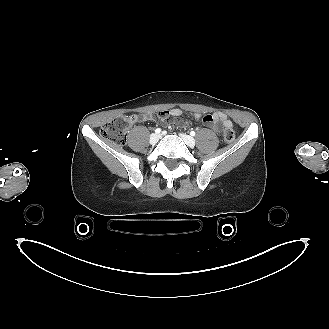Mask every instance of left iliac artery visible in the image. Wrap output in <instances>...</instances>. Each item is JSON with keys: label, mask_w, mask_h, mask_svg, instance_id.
I'll list each match as a JSON object with an SVG mask.
<instances>
[{"label": "left iliac artery", "mask_w": 329, "mask_h": 329, "mask_svg": "<svg viewBox=\"0 0 329 329\" xmlns=\"http://www.w3.org/2000/svg\"><path fill=\"white\" fill-rule=\"evenodd\" d=\"M190 135H191V136H195V132H194V131H191V132H190Z\"/></svg>", "instance_id": "1"}]
</instances>
